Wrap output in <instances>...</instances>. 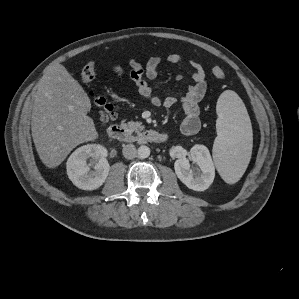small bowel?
<instances>
[{
    "mask_svg": "<svg viewBox=\"0 0 299 299\" xmlns=\"http://www.w3.org/2000/svg\"><path fill=\"white\" fill-rule=\"evenodd\" d=\"M161 61L159 56H152L148 59L145 66H142L136 59H131L129 61L130 71L128 73L119 65H114L113 71L120 77L128 75L136 85L139 94L144 99H147L153 106H164L169 109L179 103L183 112L181 130L186 135H193L197 133L200 128L199 103L207 91L205 70L197 61H188V65L192 69V82L189 84L186 94L180 99L173 96L161 98L153 93L148 82L157 77ZM167 61L177 65L186 64L184 57L179 53H170L167 56ZM183 78L182 75L177 76V80H182Z\"/></svg>",
    "mask_w": 299,
    "mask_h": 299,
    "instance_id": "c3829d8e",
    "label": "small bowel"
}]
</instances>
